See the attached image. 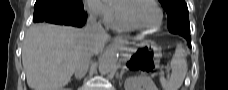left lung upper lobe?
Listing matches in <instances>:
<instances>
[{
	"mask_svg": "<svg viewBox=\"0 0 228 90\" xmlns=\"http://www.w3.org/2000/svg\"><path fill=\"white\" fill-rule=\"evenodd\" d=\"M168 15L169 30L190 33L185 0H159Z\"/></svg>",
	"mask_w": 228,
	"mask_h": 90,
	"instance_id": "5c2ea615",
	"label": "left lung upper lobe"
}]
</instances>
